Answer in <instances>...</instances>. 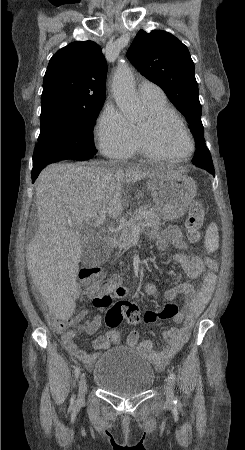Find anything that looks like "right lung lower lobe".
I'll return each instance as SVG.
<instances>
[{
    "label": "right lung lower lobe",
    "instance_id": "obj_1",
    "mask_svg": "<svg viewBox=\"0 0 245 450\" xmlns=\"http://www.w3.org/2000/svg\"><path fill=\"white\" fill-rule=\"evenodd\" d=\"M93 155L94 154H74V155L63 156V157L48 161L45 164H43L42 166L32 169V182H34L36 180V178L38 177L41 170L49 163L56 162L59 160H64V159H74V160L82 161V160H87V159L91 158Z\"/></svg>",
    "mask_w": 245,
    "mask_h": 450
}]
</instances>
